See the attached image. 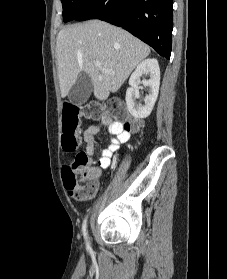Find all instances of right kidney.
I'll use <instances>...</instances> for the list:
<instances>
[{"label":"right kidney","instance_id":"right-kidney-1","mask_svg":"<svg viewBox=\"0 0 227 279\" xmlns=\"http://www.w3.org/2000/svg\"><path fill=\"white\" fill-rule=\"evenodd\" d=\"M143 75H149L148 80H143L145 87H149V94L144 99V105L137 104L135 101L139 98L140 78ZM130 88L126 91V103L130 114L135 118H146L153 110L154 104L158 97L160 85V69L157 59H145L132 73L129 79Z\"/></svg>","mask_w":227,"mask_h":279}]
</instances>
